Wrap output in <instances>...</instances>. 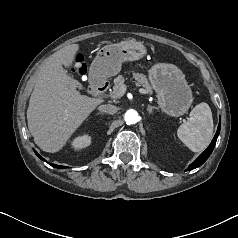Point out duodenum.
Instances as JSON below:
<instances>
[{
    "instance_id": "duodenum-1",
    "label": "duodenum",
    "mask_w": 238,
    "mask_h": 238,
    "mask_svg": "<svg viewBox=\"0 0 238 238\" xmlns=\"http://www.w3.org/2000/svg\"><path fill=\"white\" fill-rule=\"evenodd\" d=\"M107 88H108V82L105 79L97 77V76L92 77L89 90L93 95L99 96L103 92H105Z\"/></svg>"
}]
</instances>
